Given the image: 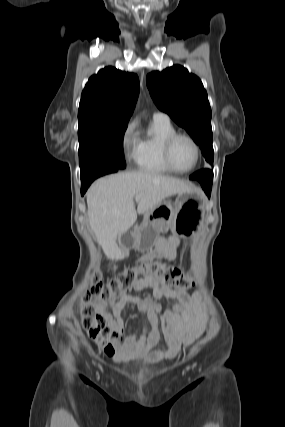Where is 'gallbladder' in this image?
I'll list each match as a JSON object with an SVG mask.
<instances>
[{
  "label": "gallbladder",
  "mask_w": 285,
  "mask_h": 427,
  "mask_svg": "<svg viewBox=\"0 0 285 427\" xmlns=\"http://www.w3.org/2000/svg\"><path fill=\"white\" fill-rule=\"evenodd\" d=\"M126 234H122V236L120 237V245L123 246L124 245V240H125Z\"/></svg>",
  "instance_id": "1"
}]
</instances>
